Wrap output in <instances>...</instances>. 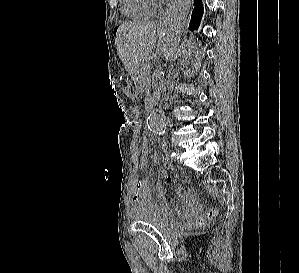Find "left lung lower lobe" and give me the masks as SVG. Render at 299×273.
Returning a JSON list of instances; mask_svg holds the SVG:
<instances>
[{
  "instance_id": "left-lung-lower-lobe-1",
  "label": "left lung lower lobe",
  "mask_w": 299,
  "mask_h": 273,
  "mask_svg": "<svg viewBox=\"0 0 299 273\" xmlns=\"http://www.w3.org/2000/svg\"><path fill=\"white\" fill-rule=\"evenodd\" d=\"M194 5H195V8L193 10L192 19L190 21V26H189V29H191V30H195L198 28L201 15L203 14L201 0H195Z\"/></svg>"
}]
</instances>
